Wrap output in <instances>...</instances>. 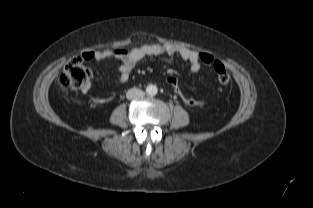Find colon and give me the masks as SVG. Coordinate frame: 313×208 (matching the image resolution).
<instances>
[{
    "mask_svg": "<svg viewBox=\"0 0 313 208\" xmlns=\"http://www.w3.org/2000/svg\"><path fill=\"white\" fill-rule=\"evenodd\" d=\"M199 58L202 63L212 66L220 85L227 86L230 83V75L221 61L216 60L211 54L206 52L199 53ZM85 60L84 56H78L65 66L59 79V84L63 90L83 89L89 85L92 72L84 64ZM168 82L186 106L192 108L202 107L203 102L190 97L176 78L170 77Z\"/></svg>",
    "mask_w": 313,
    "mask_h": 208,
    "instance_id": "5ec220e1",
    "label": "colon"
}]
</instances>
